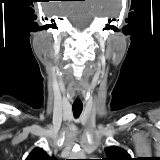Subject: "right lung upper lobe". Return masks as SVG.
<instances>
[{
	"instance_id": "obj_1",
	"label": "right lung upper lobe",
	"mask_w": 160,
	"mask_h": 160,
	"mask_svg": "<svg viewBox=\"0 0 160 160\" xmlns=\"http://www.w3.org/2000/svg\"><path fill=\"white\" fill-rule=\"evenodd\" d=\"M26 160H56L54 156H49L43 149L34 148Z\"/></svg>"
}]
</instances>
